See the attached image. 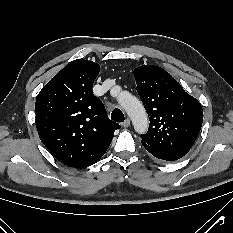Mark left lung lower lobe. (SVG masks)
<instances>
[{
  "label": "left lung lower lobe",
  "instance_id": "left-lung-lower-lobe-1",
  "mask_svg": "<svg viewBox=\"0 0 233 233\" xmlns=\"http://www.w3.org/2000/svg\"><path fill=\"white\" fill-rule=\"evenodd\" d=\"M142 144L149 153H151L153 156H155L156 158L161 159V160L175 161V160L183 157V156H181L179 154L170 153V152H167V151L157 149V148L152 147L150 145H147V144H145L143 142H142Z\"/></svg>",
  "mask_w": 233,
  "mask_h": 233
}]
</instances>
